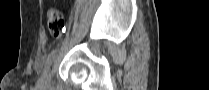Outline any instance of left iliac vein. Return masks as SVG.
I'll list each match as a JSON object with an SVG mask.
<instances>
[{
	"mask_svg": "<svg viewBox=\"0 0 209 90\" xmlns=\"http://www.w3.org/2000/svg\"><path fill=\"white\" fill-rule=\"evenodd\" d=\"M51 74L52 73L44 75V77L41 79V86H43V87L49 86Z\"/></svg>",
	"mask_w": 209,
	"mask_h": 90,
	"instance_id": "1",
	"label": "left iliac vein"
}]
</instances>
